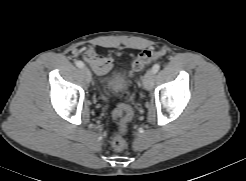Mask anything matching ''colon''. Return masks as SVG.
<instances>
[{"instance_id":"colon-1","label":"colon","mask_w":246,"mask_h":181,"mask_svg":"<svg viewBox=\"0 0 246 181\" xmlns=\"http://www.w3.org/2000/svg\"><path fill=\"white\" fill-rule=\"evenodd\" d=\"M158 57V53L152 50H143L138 53L131 64L132 72H140L144 70ZM114 115L120 118V131L123 133L133 116V111L128 105L119 106ZM110 146L115 151H121L125 148V140L122 135H115L110 140Z\"/></svg>"}]
</instances>
